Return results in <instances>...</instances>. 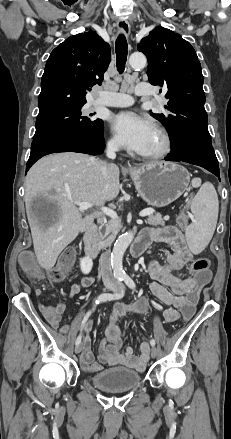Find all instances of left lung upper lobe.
I'll return each instance as SVG.
<instances>
[{"instance_id":"obj_1","label":"left lung upper lobe","mask_w":231,"mask_h":439,"mask_svg":"<svg viewBox=\"0 0 231 439\" xmlns=\"http://www.w3.org/2000/svg\"><path fill=\"white\" fill-rule=\"evenodd\" d=\"M138 50L148 59L149 82L166 91L167 114L151 112V116L167 128L172 146L189 140L212 143L204 108L201 65L190 43L158 26L141 40Z\"/></svg>"}]
</instances>
